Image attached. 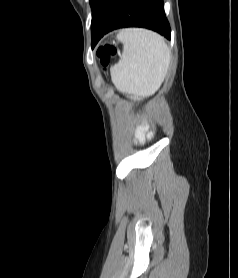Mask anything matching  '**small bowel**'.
Returning <instances> with one entry per match:
<instances>
[{"mask_svg": "<svg viewBox=\"0 0 238 278\" xmlns=\"http://www.w3.org/2000/svg\"><path fill=\"white\" fill-rule=\"evenodd\" d=\"M150 134H147V127L141 126L136 131V137L139 143H143L147 137H150Z\"/></svg>", "mask_w": 238, "mask_h": 278, "instance_id": "small-bowel-1", "label": "small bowel"}]
</instances>
